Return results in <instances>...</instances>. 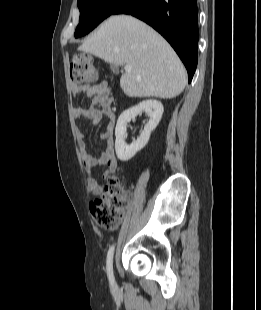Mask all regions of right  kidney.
Masks as SVG:
<instances>
[{"label":"right kidney","instance_id":"obj_1","mask_svg":"<svg viewBox=\"0 0 261 310\" xmlns=\"http://www.w3.org/2000/svg\"><path fill=\"white\" fill-rule=\"evenodd\" d=\"M163 111V105L160 101L145 100L140 102L138 105L125 110L119 116L115 129V150L119 160H130L138 151L146 146L151 132L157 127L161 120ZM142 112H145L149 116V121L145 125L140 137L136 141L132 142V144L127 145L125 143L127 123Z\"/></svg>","mask_w":261,"mask_h":310}]
</instances>
